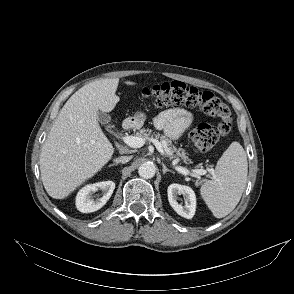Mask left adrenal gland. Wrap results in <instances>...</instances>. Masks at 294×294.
Masks as SVG:
<instances>
[{
    "label": "left adrenal gland",
    "instance_id": "1",
    "mask_svg": "<svg viewBox=\"0 0 294 294\" xmlns=\"http://www.w3.org/2000/svg\"><path fill=\"white\" fill-rule=\"evenodd\" d=\"M162 167H163V174H165L166 172H171L174 174V171L168 169L164 163H162Z\"/></svg>",
    "mask_w": 294,
    "mask_h": 294
}]
</instances>
